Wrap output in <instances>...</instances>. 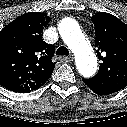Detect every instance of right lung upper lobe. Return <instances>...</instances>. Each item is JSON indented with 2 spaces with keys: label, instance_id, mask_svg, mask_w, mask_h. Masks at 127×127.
<instances>
[{
  "label": "right lung upper lobe",
  "instance_id": "right-lung-upper-lobe-1",
  "mask_svg": "<svg viewBox=\"0 0 127 127\" xmlns=\"http://www.w3.org/2000/svg\"><path fill=\"white\" fill-rule=\"evenodd\" d=\"M50 18L41 12L25 13L0 31V85L14 92H30L51 76L54 47L42 39Z\"/></svg>",
  "mask_w": 127,
  "mask_h": 127
}]
</instances>
